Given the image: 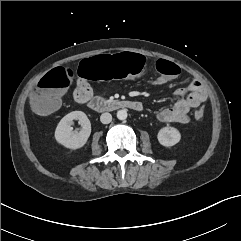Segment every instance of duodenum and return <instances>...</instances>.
Returning a JSON list of instances; mask_svg holds the SVG:
<instances>
[{
    "mask_svg": "<svg viewBox=\"0 0 241 241\" xmlns=\"http://www.w3.org/2000/svg\"><path fill=\"white\" fill-rule=\"evenodd\" d=\"M88 102V107L97 112H110L119 109H135L138 107L136 102L128 100H104L94 98Z\"/></svg>",
    "mask_w": 241,
    "mask_h": 241,
    "instance_id": "obj_1",
    "label": "duodenum"
}]
</instances>
